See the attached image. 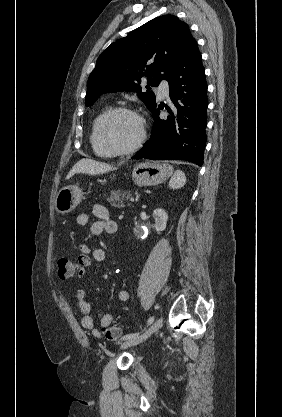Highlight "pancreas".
Segmentation results:
<instances>
[{
  "label": "pancreas",
  "mask_w": 282,
  "mask_h": 417,
  "mask_svg": "<svg viewBox=\"0 0 282 417\" xmlns=\"http://www.w3.org/2000/svg\"><path fill=\"white\" fill-rule=\"evenodd\" d=\"M130 196L131 190H111V194L107 200L112 206H118V209H121V206H125L123 200H128Z\"/></svg>",
  "instance_id": "1"
}]
</instances>
